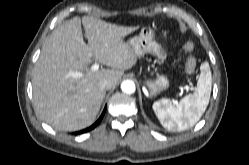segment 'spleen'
Listing matches in <instances>:
<instances>
[{"label":"spleen","mask_w":249,"mask_h":165,"mask_svg":"<svg viewBox=\"0 0 249 165\" xmlns=\"http://www.w3.org/2000/svg\"><path fill=\"white\" fill-rule=\"evenodd\" d=\"M200 76L193 94L174 104L163 98L153 103L152 108L161 124L171 131H183L193 127L204 114L211 95L212 75L208 62L200 66Z\"/></svg>","instance_id":"spleen-1"}]
</instances>
